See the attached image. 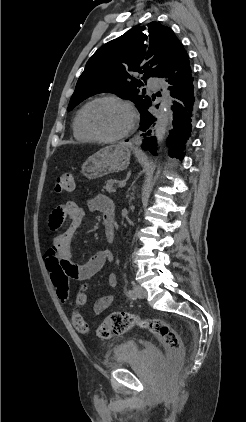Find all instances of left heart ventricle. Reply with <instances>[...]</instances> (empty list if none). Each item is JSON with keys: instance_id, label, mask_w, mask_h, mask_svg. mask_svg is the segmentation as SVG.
I'll return each mask as SVG.
<instances>
[{"instance_id": "b2bd125f", "label": "left heart ventricle", "mask_w": 246, "mask_h": 422, "mask_svg": "<svg viewBox=\"0 0 246 422\" xmlns=\"http://www.w3.org/2000/svg\"><path fill=\"white\" fill-rule=\"evenodd\" d=\"M88 118L92 129L105 137L122 133L129 124L127 109L113 101H103L92 106Z\"/></svg>"}]
</instances>
